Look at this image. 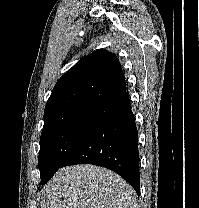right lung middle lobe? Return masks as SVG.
Returning a JSON list of instances; mask_svg holds the SVG:
<instances>
[{
    "label": "right lung middle lobe",
    "mask_w": 199,
    "mask_h": 208,
    "mask_svg": "<svg viewBox=\"0 0 199 208\" xmlns=\"http://www.w3.org/2000/svg\"><path fill=\"white\" fill-rule=\"evenodd\" d=\"M99 109L78 107L44 120L38 158L41 182H47L61 167Z\"/></svg>",
    "instance_id": "obj_1"
}]
</instances>
